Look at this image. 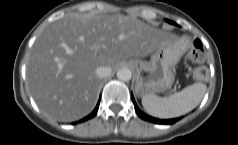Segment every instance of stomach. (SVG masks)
Wrapping results in <instances>:
<instances>
[{
  "instance_id": "stomach-1",
  "label": "stomach",
  "mask_w": 238,
  "mask_h": 145,
  "mask_svg": "<svg viewBox=\"0 0 238 145\" xmlns=\"http://www.w3.org/2000/svg\"><path fill=\"white\" fill-rule=\"evenodd\" d=\"M180 59L176 41L162 43L151 55L150 61L138 69L136 93L140 96L167 91L174 83V68Z\"/></svg>"
}]
</instances>
